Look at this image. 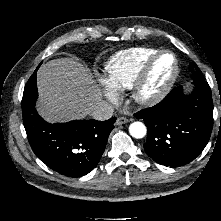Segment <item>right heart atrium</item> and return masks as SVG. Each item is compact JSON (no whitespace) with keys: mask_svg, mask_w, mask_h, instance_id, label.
<instances>
[{"mask_svg":"<svg viewBox=\"0 0 221 221\" xmlns=\"http://www.w3.org/2000/svg\"><path fill=\"white\" fill-rule=\"evenodd\" d=\"M100 83L104 88L105 96L112 102L118 100V90L112 86V84L106 78H101Z\"/></svg>","mask_w":221,"mask_h":221,"instance_id":"obj_1","label":"right heart atrium"}]
</instances>
